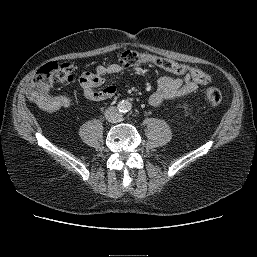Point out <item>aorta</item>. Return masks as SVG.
I'll return each instance as SVG.
<instances>
[{"label":"aorta","instance_id":"aorta-1","mask_svg":"<svg viewBox=\"0 0 257 257\" xmlns=\"http://www.w3.org/2000/svg\"><path fill=\"white\" fill-rule=\"evenodd\" d=\"M118 107L121 112H128L131 109V103L123 100L119 102Z\"/></svg>","mask_w":257,"mask_h":257}]
</instances>
